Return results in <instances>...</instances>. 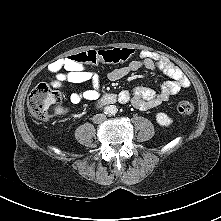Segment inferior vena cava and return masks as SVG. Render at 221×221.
Wrapping results in <instances>:
<instances>
[{"label": "inferior vena cava", "mask_w": 221, "mask_h": 221, "mask_svg": "<svg viewBox=\"0 0 221 221\" xmlns=\"http://www.w3.org/2000/svg\"><path fill=\"white\" fill-rule=\"evenodd\" d=\"M106 120V115L105 114H96L93 116V122L94 123H102Z\"/></svg>", "instance_id": "obj_1"}]
</instances>
